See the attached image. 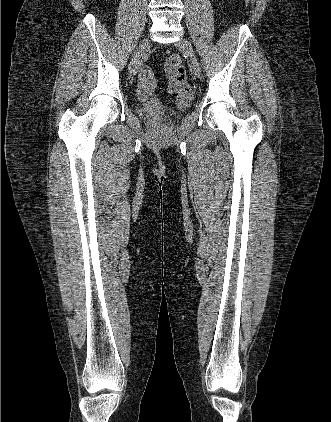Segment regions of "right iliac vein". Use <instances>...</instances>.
Returning <instances> with one entry per match:
<instances>
[{
	"label": "right iliac vein",
	"instance_id": "right-iliac-vein-1",
	"mask_svg": "<svg viewBox=\"0 0 331 422\" xmlns=\"http://www.w3.org/2000/svg\"><path fill=\"white\" fill-rule=\"evenodd\" d=\"M149 44V38H144L140 44L139 47L133 57V59L131 60L128 70L130 73L134 72L135 70H137L139 68V66L141 65V58L144 55L147 47Z\"/></svg>",
	"mask_w": 331,
	"mask_h": 422
}]
</instances>
